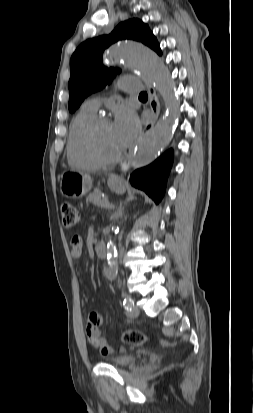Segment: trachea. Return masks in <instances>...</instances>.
I'll use <instances>...</instances> for the list:
<instances>
[{
  "label": "trachea",
  "instance_id": "1",
  "mask_svg": "<svg viewBox=\"0 0 253 413\" xmlns=\"http://www.w3.org/2000/svg\"><path fill=\"white\" fill-rule=\"evenodd\" d=\"M139 97H147V93H146V92H142V93H140Z\"/></svg>",
  "mask_w": 253,
  "mask_h": 413
}]
</instances>
